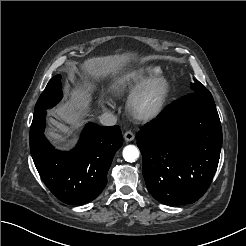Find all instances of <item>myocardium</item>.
<instances>
[{"label": "myocardium", "mask_w": 246, "mask_h": 246, "mask_svg": "<svg viewBox=\"0 0 246 246\" xmlns=\"http://www.w3.org/2000/svg\"><path fill=\"white\" fill-rule=\"evenodd\" d=\"M170 85L168 80L156 75L138 86L131 94L128 101V111L131 116L142 122L156 118L162 111L168 98ZM154 93L152 101H148L149 96Z\"/></svg>", "instance_id": "obj_1"}]
</instances>
